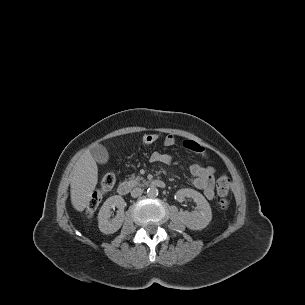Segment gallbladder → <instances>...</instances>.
Returning a JSON list of instances; mask_svg holds the SVG:
<instances>
[{
  "mask_svg": "<svg viewBox=\"0 0 305 305\" xmlns=\"http://www.w3.org/2000/svg\"><path fill=\"white\" fill-rule=\"evenodd\" d=\"M92 157L100 164H106L109 159L107 149L102 145H93L90 148Z\"/></svg>",
  "mask_w": 305,
  "mask_h": 305,
  "instance_id": "1",
  "label": "gallbladder"
}]
</instances>
